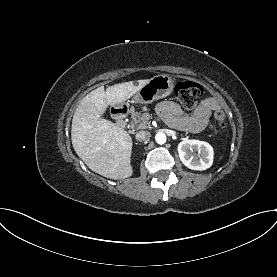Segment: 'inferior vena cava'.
<instances>
[{"label":"inferior vena cava","mask_w":277,"mask_h":277,"mask_svg":"<svg viewBox=\"0 0 277 277\" xmlns=\"http://www.w3.org/2000/svg\"><path fill=\"white\" fill-rule=\"evenodd\" d=\"M135 137H136V140L142 142V141H147V140H149L150 137H151V134H150V132H148V131L142 130V131L137 132L136 135H135Z\"/></svg>","instance_id":"1"}]
</instances>
